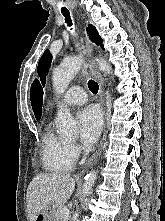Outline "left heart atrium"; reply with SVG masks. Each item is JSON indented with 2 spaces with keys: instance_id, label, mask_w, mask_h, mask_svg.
Here are the masks:
<instances>
[{
  "instance_id": "1",
  "label": "left heart atrium",
  "mask_w": 165,
  "mask_h": 221,
  "mask_svg": "<svg viewBox=\"0 0 165 221\" xmlns=\"http://www.w3.org/2000/svg\"><path fill=\"white\" fill-rule=\"evenodd\" d=\"M77 121L83 144L92 145L101 133L103 121L100 111L94 106L85 107L77 114Z\"/></svg>"
}]
</instances>
